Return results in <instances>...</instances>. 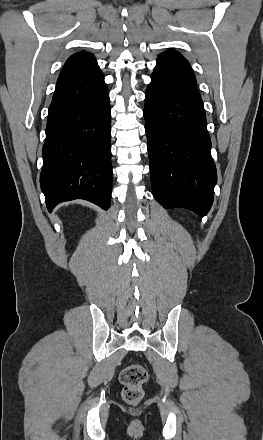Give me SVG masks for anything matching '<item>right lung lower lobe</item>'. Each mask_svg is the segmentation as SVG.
Listing matches in <instances>:
<instances>
[{
	"label": "right lung lower lobe",
	"instance_id": "obj_1",
	"mask_svg": "<svg viewBox=\"0 0 263 440\" xmlns=\"http://www.w3.org/2000/svg\"><path fill=\"white\" fill-rule=\"evenodd\" d=\"M110 100L99 70L56 87L46 127L40 185L51 212L74 199L110 207Z\"/></svg>",
	"mask_w": 263,
	"mask_h": 440
}]
</instances>
